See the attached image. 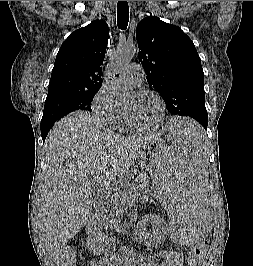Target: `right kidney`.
Masks as SVG:
<instances>
[{
    "label": "right kidney",
    "instance_id": "obj_1",
    "mask_svg": "<svg viewBox=\"0 0 253 266\" xmlns=\"http://www.w3.org/2000/svg\"><path fill=\"white\" fill-rule=\"evenodd\" d=\"M103 234L100 232L88 233L87 245L94 252V254H101L104 250L101 239Z\"/></svg>",
    "mask_w": 253,
    "mask_h": 266
}]
</instances>
